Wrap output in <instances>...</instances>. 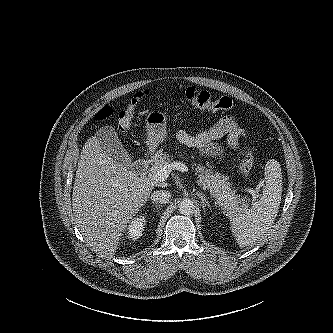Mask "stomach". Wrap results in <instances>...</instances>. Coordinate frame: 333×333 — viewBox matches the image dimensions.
I'll return each instance as SVG.
<instances>
[{"label":"stomach","mask_w":333,"mask_h":333,"mask_svg":"<svg viewBox=\"0 0 333 333\" xmlns=\"http://www.w3.org/2000/svg\"><path fill=\"white\" fill-rule=\"evenodd\" d=\"M147 129V146L151 152L166 140V116L161 112H150L145 119Z\"/></svg>","instance_id":"stomach-1"}]
</instances>
